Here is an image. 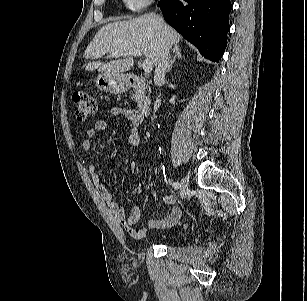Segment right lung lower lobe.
I'll return each mask as SVG.
<instances>
[{"label": "right lung lower lobe", "mask_w": 307, "mask_h": 301, "mask_svg": "<svg viewBox=\"0 0 307 301\" xmlns=\"http://www.w3.org/2000/svg\"><path fill=\"white\" fill-rule=\"evenodd\" d=\"M164 19L211 61H219L227 45L230 0H160Z\"/></svg>", "instance_id": "98d812e1"}]
</instances>
